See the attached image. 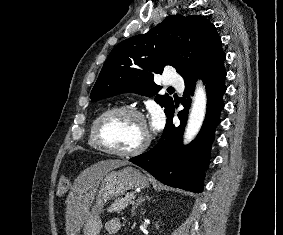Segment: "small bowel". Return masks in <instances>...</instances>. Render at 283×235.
<instances>
[{"mask_svg": "<svg viewBox=\"0 0 283 235\" xmlns=\"http://www.w3.org/2000/svg\"><path fill=\"white\" fill-rule=\"evenodd\" d=\"M106 228L110 234H116L121 229V221L119 219H111L107 222Z\"/></svg>", "mask_w": 283, "mask_h": 235, "instance_id": "small-bowel-1", "label": "small bowel"}]
</instances>
